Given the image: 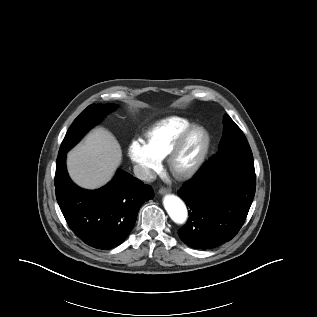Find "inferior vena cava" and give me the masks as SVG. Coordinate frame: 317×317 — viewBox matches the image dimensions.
I'll return each mask as SVG.
<instances>
[{"label":"inferior vena cava","mask_w":317,"mask_h":317,"mask_svg":"<svg viewBox=\"0 0 317 317\" xmlns=\"http://www.w3.org/2000/svg\"><path fill=\"white\" fill-rule=\"evenodd\" d=\"M134 174L138 179L146 182H153L156 179L155 172L141 164L134 166Z\"/></svg>","instance_id":"inferior-vena-cava-1"}]
</instances>
